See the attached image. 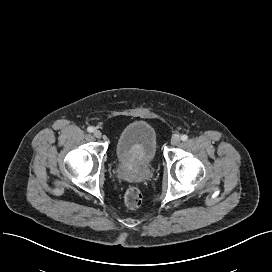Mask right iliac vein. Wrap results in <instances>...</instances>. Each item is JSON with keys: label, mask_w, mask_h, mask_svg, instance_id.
<instances>
[{"label": "right iliac vein", "mask_w": 272, "mask_h": 272, "mask_svg": "<svg viewBox=\"0 0 272 272\" xmlns=\"http://www.w3.org/2000/svg\"><path fill=\"white\" fill-rule=\"evenodd\" d=\"M93 134H94V136L96 137V138H101L102 137V133H101V131L100 130H94V132H93Z\"/></svg>", "instance_id": "1"}]
</instances>
